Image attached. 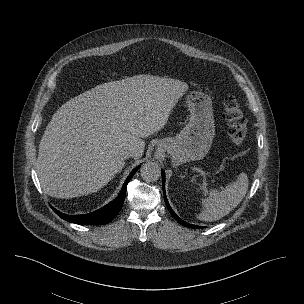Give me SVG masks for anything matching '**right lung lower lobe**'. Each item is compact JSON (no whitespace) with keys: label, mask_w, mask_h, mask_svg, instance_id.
I'll use <instances>...</instances> for the list:
<instances>
[{"label":"right lung lower lobe","mask_w":304,"mask_h":304,"mask_svg":"<svg viewBox=\"0 0 304 304\" xmlns=\"http://www.w3.org/2000/svg\"><path fill=\"white\" fill-rule=\"evenodd\" d=\"M139 167L135 168L130 175L127 177L126 181L123 184V187L120 191V194L118 197L113 200L111 203L107 204L106 206L88 213V214H82V215H66L55 208L52 207L54 212L59 215L62 219L80 224V225H103L111 222L114 217L118 214V212L121 210L124 200H125V195H126V186L128 182L131 180V178L134 176L136 171L138 170Z\"/></svg>","instance_id":"right-lung-lower-lobe-1"}]
</instances>
